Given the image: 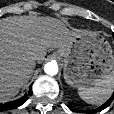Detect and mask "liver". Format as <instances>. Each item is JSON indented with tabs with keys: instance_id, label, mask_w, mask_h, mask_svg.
<instances>
[{
	"instance_id": "obj_1",
	"label": "liver",
	"mask_w": 114,
	"mask_h": 114,
	"mask_svg": "<svg viewBox=\"0 0 114 114\" xmlns=\"http://www.w3.org/2000/svg\"><path fill=\"white\" fill-rule=\"evenodd\" d=\"M82 33L50 17L0 20V102L12 99L28 83L48 48L65 47Z\"/></svg>"
}]
</instances>
